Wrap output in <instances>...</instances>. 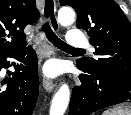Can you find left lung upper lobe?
<instances>
[{"mask_svg":"<svg viewBox=\"0 0 131 115\" xmlns=\"http://www.w3.org/2000/svg\"><path fill=\"white\" fill-rule=\"evenodd\" d=\"M77 12V27L88 32L93 58L77 63L93 73L131 79V24L114 0H60Z\"/></svg>","mask_w":131,"mask_h":115,"instance_id":"1","label":"left lung upper lobe"}]
</instances>
